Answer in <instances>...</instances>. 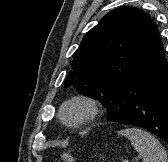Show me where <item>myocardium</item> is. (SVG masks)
Here are the masks:
<instances>
[{
  "mask_svg": "<svg viewBox=\"0 0 168 162\" xmlns=\"http://www.w3.org/2000/svg\"><path fill=\"white\" fill-rule=\"evenodd\" d=\"M97 100L86 95H76L65 100L59 107L60 122L68 128L81 127L93 120L99 113ZM74 112L72 116L71 113Z\"/></svg>",
  "mask_w": 168,
  "mask_h": 162,
  "instance_id": "1",
  "label": "myocardium"
}]
</instances>
